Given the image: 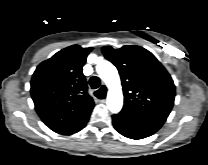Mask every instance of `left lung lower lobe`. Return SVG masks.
<instances>
[{
	"label": "left lung lower lobe",
	"instance_id": "1",
	"mask_svg": "<svg viewBox=\"0 0 208 165\" xmlns=\"http://www.w3.org/2000/svg\"><path fill=\"white\" fill-rule=\"evenodd\" d=\"M114 128L123 136L131 139H143L154 134L163 125V121L141 118L120 112L112 116Z\"/></svg>",
	"mask_w": 208,
	"mask_h": 165
}]
</instances>
